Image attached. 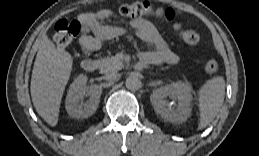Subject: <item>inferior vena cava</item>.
I'll use <instances>...</instances> for the list:
<instances>
[{
	"label": "inferior vena cava",
	"instance_id": "obj_1",
	"mask_svg": "<svg viewBox=\"0 0 259 156\" xmlns=\"http://www.w3.org/2000/svg\"><path fill=\"white\" fill-rule=\"evenodd\" d=\"M118 77H119V75L117 73H114V72L108 73L104 76V78L106 80H110V81H116L118 79Z\"/></svg>",
	"mask_w": 259,
	"mask_h": 156
}]
</instances>
